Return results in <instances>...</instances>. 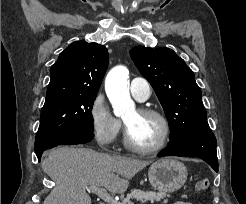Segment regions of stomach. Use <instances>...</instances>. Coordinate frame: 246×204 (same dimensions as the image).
<instances>
[{
	"label": "stomach",
	"mask_w": 246,
	"mask_h": 204,
	"mask_svg": "<svg viewBox=\"0 0 246 204\" xmlns=\"http://www.w3.org/2000/svg\"><path fill=\"white\" fill-rule=\"evenodd\" d=\"M188 176L185 165L172 158H164L152 163L148 178L152 187L160 192H175L186 182Z\"/></svg>",
	"instance_id": "stomach-1"
}]
</instances>
